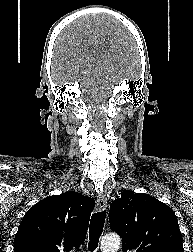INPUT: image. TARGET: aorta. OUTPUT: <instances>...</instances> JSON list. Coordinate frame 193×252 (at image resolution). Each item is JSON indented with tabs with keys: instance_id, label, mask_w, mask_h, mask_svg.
Masks as SVG:
<instances>
[{
	"instance_id": "762f6f07",
	"label": "aorta",
	"mask_w": 193,
	"mask_h": 252,
	"mask_svg": "<svg viewBox=\"0 0 193 252\" xmlns=\"http://www.w3.org/2000/svg\"><path fill=\"white\" fill-rule=\"evenodd\" d=\"M121 244V239L116 234H109L102 238L101 249L102 252H115Z\"/></svg>"
}]
</instances>
